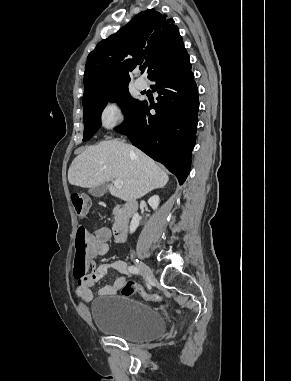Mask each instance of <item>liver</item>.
<instances>
[{
  "mask_svg": "<svg viewBox=\"0 0 291 381\" xmlns=\"http://www.w3.org/2000/svg\"><path fill=\"white\" fill-rule=\"evenodd\" d=\"M114 179H121L123 187L109 184L111 195L133 201L164 187L169 177L141 150L117 140L102 141L86 148L68 170L69 183L84 188H94Z\"/></svg>",
  "mask_w": 291,
  "mask_h": 381,
  "instance_id": "1",
  "label": "liver"
}]
</instances>
